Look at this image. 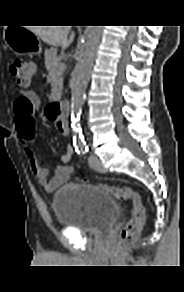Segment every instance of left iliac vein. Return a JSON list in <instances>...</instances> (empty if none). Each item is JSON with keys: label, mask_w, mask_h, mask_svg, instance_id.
I'll return each mask as SVG.
<instances>
[{"label": "left iliac vein", "mask_w": 184, "mask_h": 292, "mask_svg": "<svg viewBox=\"0 0 184 292\" xmlns=\"http://www.w3.org/2000/svg\"><path fill=\"white\" fill-rule=\"evenodd\" d=\"M89 165L92 169L98 171V172H102L105 173L106 169L104 168L102 162L100 161V159L95 156V155H90L89 156Z\"/></svg>", "instance_id": "obj_1"}]
</instances>
